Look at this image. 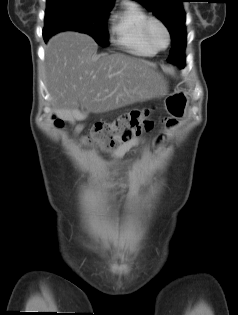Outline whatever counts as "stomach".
<instances>
[{
    "instance_id": "stomach-1",
    "label": "stomach",
    "mask_w": 238,
    "mask_h": 315,
    "mask_svg": "<svg viewBox=\"0 0 238 315\" xmlns=\"http://www.w3.org/2000/svg\"><path fill=\"white\" fill-rule=\"evenodd\" d=\"M186 105H188V91H173V94H167L163 107L174 120H183Z\"/></svg>"
}]
</instances>
